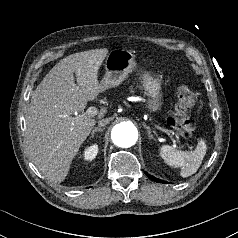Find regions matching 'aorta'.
Instances as JSON below:
<instances>
[{"mask_svg":"<svg viewBox=\"0 0 238 238\" xmlns=\"http://www.w3.org/2000/svg\"><path fill=\"white\" fill-rule=\"evenodd\" d=\"M111 137L116 146L128 148L136 143L138 131L131 123H119L113 127Z\"/></svg>","mask_w":238,"mask_h":238,"instance_id":"aorta-1","label":"aorta"}]
</instances>
